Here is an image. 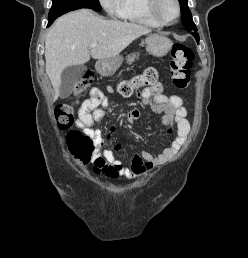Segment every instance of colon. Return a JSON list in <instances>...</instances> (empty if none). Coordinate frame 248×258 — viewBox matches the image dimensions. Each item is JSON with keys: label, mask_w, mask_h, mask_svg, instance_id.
Instances as JSON below:
<instances>
[{"label": "colon", "mask_w": 248, "mask_h": 258, "mask_svg": "<svg viewBox=\"0 0 248 258\" xmlns=\"http://www.w3.org/2000/svg\"><path fill=\"white\" fill-rule=\"evenodd\" d=\"M194 54L192 49L185 44H174L172 47V60L170 62V76L175 87L186 89L190 84V70ZM93 82V75L88 72L83 75L75 87V93L78 94L85 90ZM158 72L154 68H148L143 73L137 75L131 80L122 81L117 86L118 92L125 97L130 96L134 91L143 87H157ZM74 109L70 104H60L55 109V120L59 128L70 129L74 122ZM67 144L72 155L84 164L94 160L93 139L84 131L70 130L66 137ZM97 172H103L110 178L117 177V171L114 169H99L95 166Z\"/></svg>", "instance_id": "colon-1"}]
</instances>
